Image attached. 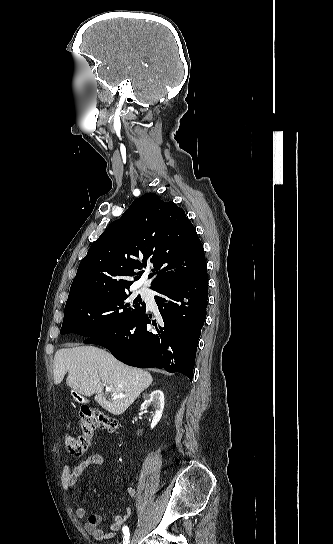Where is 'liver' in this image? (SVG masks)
Instances as JSON below:
<instances>
[{
	"mask_svg": "<svg viewBox=\"0 0 333 544\" xmlns=\"http://www.w3.org/2000/svg\"><path fill=\"white\" fill-rule=\"evenodd\" d=\"M67 372L69 387L84 396L95 394L94 400L113 415L124 413L153 382L149 372L127 366L94 346L59 349L54 356V383L60 384ZM106 385L112 389L108 399L103 391Z\"/></svg>",
	"mask_w": 333,
	"mask_h": 544,
	"instance_id": "6515ba94",
	"label": "liver"
}]
</instances>
